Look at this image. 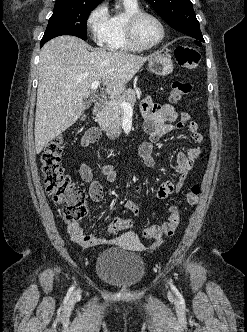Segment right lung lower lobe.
Here are the masks:
<instances>
[{
    "instance_id": "98d812e1",
    "label": "right lung lower lobe",
    "mask_w": 247,
    "mask_h": 332,
    "mask_svg": "<svg viewBox=\"0 0 247 332\" xmlns=\"http://www.w3.org/2000/svg\"><path fill=\"white\" fill-rule=\"evenodd\" d=\"M61 35H71V34L67 30L63 29L46 30L41 40L40 47H42L50 39Z\"/></svg>"
}]
</instances>
